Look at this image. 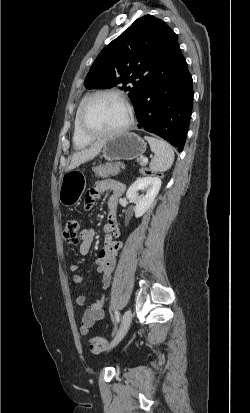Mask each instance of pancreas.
Here are the masks:
<instances>
[{
	"instance_id": "1",
	"label": "pancreas",
	"mask_w": 250,
	"mask_h": 413,
	"mask_svg": "<svg viewBox=\"0 0 250 413\" xmlns=\"http://www.w3.org/2000/svg\"><path fill=\"white\" fill-rule=\"evenodd\" d=\"M138 162L142 166L145 165L142 159H139ZM120 168H124L121 163H106L95 166L93 172L98 178H108L109 176L117 175L120 172Z\"/></svg>"
}]
</instances>
